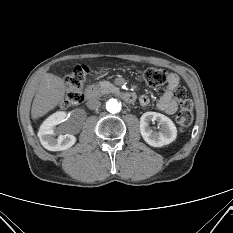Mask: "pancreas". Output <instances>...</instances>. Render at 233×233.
Returning <instances> with one entry per match:
<instances>
[{
    "label": "pancreas",
    "instance_id": "pancreas-1",
    "mask_svg": "<svg viewBox=\"0 0 233 233\" xmlns=\"http://www.w3.org/2000/svg\"><path fill=\"white\" fill-rule=\"evenodd\" d=\"M116 87L109 81H100L97 84L89 86L87 92L99 93V94H108L115 91Z\"/></svg>",
    "mask_w": 233,
    "mask_h": 233
}]
</instances>
